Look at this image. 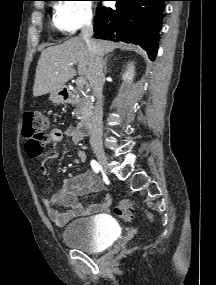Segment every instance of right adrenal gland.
Wrapping results in <instances>:
<instances>
[{"label": "right adrenal gland", "instance_id": "1", "mask_svg": "<svg viewBox=\"0 0 216 285\" xmlns=\"http://www.w3.org/2000/svg\"><path fill=\"white\" fill-rule=\"evenodd\" d=\"M107 59L108 57H105L103 60V66H104V72L107 73Z\"/></svg>", "mask_w": 216, "mask_h": 285}]
</instances>
